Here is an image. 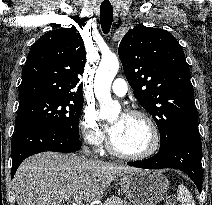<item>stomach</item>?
<instances>
[{
    "label": "stomach",
    "instance_id": "obj_1",
    "mask_svg": "<svg viewBox=\"0 0 212 205\" xmlns=\"http://www.w3.org/2000/svg\"><path fill=\"white\" fill-rule=\"evenodd\" d=\"M120 186L133 205H157L164 199L169 181L159 171L136 169L120 177Z\"/></svg>",
    "mask_w": 212,
    "mask_h": 205
}]
</instances>
